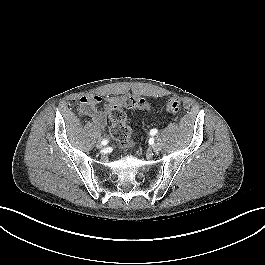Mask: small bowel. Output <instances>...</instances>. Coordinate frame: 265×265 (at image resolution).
I'll list each match as a JSON object with an SVG mask.
<instances>
[{"label":"small bowel","instance_id":"obj_1","mask_svg":"<svg viewBox=\"0 0 265 265\" xmlns=\"http://www.w3.org/2000/svg\"><path fill=\"white\" fill-rule=\"evenodd\" d=\"M117 101V97L103 99V97L98 94H90L80 98L79 108L83 114L90 117L98 126L103 127L106 124L108 110L117 103ZM103 102L105 103L104 108L99 110L97 107Z\"/></svg>","mask_w":265,"mask_h":265}]
</instances>
